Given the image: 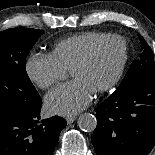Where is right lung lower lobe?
Returning a JSON list of instances; mask_svg holds the SVG:
<instances>
[{
    "mask_svg": "<svg viewBox=\"0 0 155 155\" xmlns=\"http://www.w3.org/2000/svg\"><path fill=\"white\" fill-rule=\"evenodd\" d=\"M42 100L29 112H0V155H52L65 119L41 122Z\"/></svg>",
    "mask_w": 155,
    "mask_h": 155,
    "instance_id": "right-lung-lower-lobe-1",
    "label": "right lung lower lobe"
}]
</instances>
